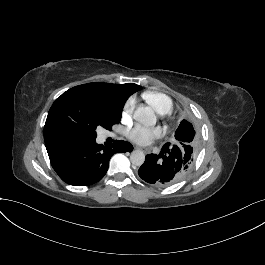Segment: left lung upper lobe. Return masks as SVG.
<instances>
[{
	"label": "left lung upper lobe",
	"instance_id": "obj_1",
	"mask_svg": "<svg viewBox=\"0 0 265 265\" xmlns=\"http://www.w3.org/2000/svg\"><path fill=\"white\" fill-rule=\"evenodd\" d=\"M200 137L193 125L187 120H182L175 133L173 143H166V146L178 150L183 158V174L186 175L193 167L199 151Z\"/></svg>",
	"mask_w": 265,
	"mask_h": 265
}]
</instances>
